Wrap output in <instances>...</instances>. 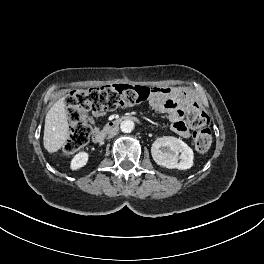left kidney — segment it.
<instances>
[{
	"label": "left kidney",
	"instance_id": "obj_1",
	"mask_svg": "<svg viewBox=\"0 0 264 264\" xmlns=\"http://www.w3.org/2000/svg\"><path fill=\"white\" fill-rule=\"evenodd\" d=\"M151 153L158 165L168 169L187 170L193 165V150L185 142L175 137L158 138L152 144ZM179 153H181L180 156Z\"/></svg>",
	"mask_w": 264,
	"mask_h": 264
}]
</instances>
